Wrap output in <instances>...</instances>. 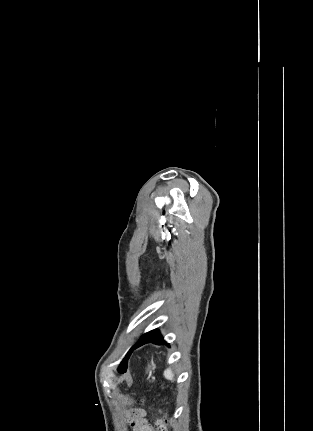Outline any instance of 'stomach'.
<instances>
[{
	"instance_id": "stomach-1",
	"label": "stomach",
	"mask_w": 313,
	"mask_h": 431,
	"mask_svg": "<svg viewBox=\"0 0 313 431\" xmlns=\"http://www.w3.org/2000/svg\"><path fill=\"white\" fill-rule=\"evenodd\" d=\"M154 368H155V365H154V363H153V362H151V364L148 366L147 371H151V370H153Z\"/></svg>"
}]
</instances>
